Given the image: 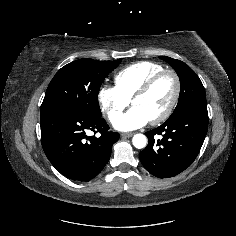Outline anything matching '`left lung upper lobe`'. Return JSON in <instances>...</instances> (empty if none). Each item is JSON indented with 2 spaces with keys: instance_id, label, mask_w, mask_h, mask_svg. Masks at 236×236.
I'll list each match as a JSON object with an SVG mask.
<instances>
[{
  "instance_id": "left-lung-upper-lobe-1",
  "label": "left lung upper lobe",
  "mask_w": 236,
  "mask_h": 236,
  "mask_svg": "<svg viewBox=\"0 0 236 236\" xmlns=\"http://www.w3.org/2000/svg\"><path fill=\"white\" fill-rule=\"evenodd\" d=\"M159 58L169 63L175 69L181 85L178 104L169 119L180 115L192 106L206 104L203 84L187 64L167 56H160Z\"/></svg>"
}]
</instances>
